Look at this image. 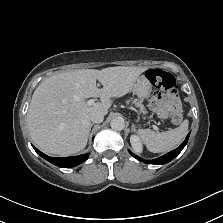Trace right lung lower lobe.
<instances>
[{"label":"right lung lower lobe","instance_id":"obj_1","mask_svg":"<svg viewBox=\"0 0 223 223\" xmlns=\"http://www.w3.org/2000/svg\"><path fill=\"white\" fill-rule=\"evenodd\" d=\"M34 150L45 160L49 161L50 163L62 167V168H70L77 166L84 162L88 158V154L80 155V156H73V157H49L39 151L37 148L33 146Z\"/></svg>","mask_w":223,"mask_h":223}]
</instances>
